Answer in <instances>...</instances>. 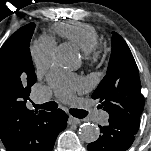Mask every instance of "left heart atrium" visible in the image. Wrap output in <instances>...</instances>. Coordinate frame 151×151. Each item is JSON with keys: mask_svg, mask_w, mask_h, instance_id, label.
I'll use <instances>...</instances> for the list:
<instances>
[{"mask_svg": "<svg viewBox=\"0 0 151 151\" xmlns=\"http://www.w3.org/2000/svg\"><path fill=\"white\" fill-rule=\"evenodd\" d=\"M51 84L56 88L58 94L63 98H69L73 92L83 85V82L76 77H69L62 74H55L50 78Z\"/></svg>", "mask_w": 151, "mask_h": 151, "instance_id": "left-heart-atrium-1", "label": "left heart atrium"}]
</instances>
